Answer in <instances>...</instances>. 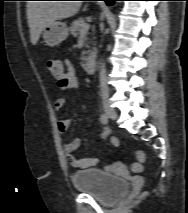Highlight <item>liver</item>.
Here are the masks:
<instances>
[{
    "instance_id": "6515ba94",
    "label": "liver",
    "mask_w": 188,
    "mask_h": 213,
    "mask_svg": "<svg viewBox=\"0 0 188 213\" xmlns=\"http://www.w3.org/2000/svg\"><path fill=\"white\" fill-rule=\"evenodd\" d=\"M80 7V1H29L26 8L31 43L37 44L46 26L54 21L75 15Z\"/></svg>"
}]
</instances>
